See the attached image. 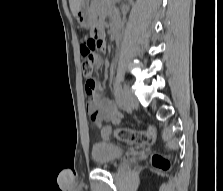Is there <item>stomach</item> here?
I'll list each match as a JSON object with an SVG mask.
<instances>
[{
	"label": "stomach",
	"instance_id": "stomach-1",
	"mask_svg": "<svg viewBox=\"0 0 223 191\" xmlns=\"http://www.w3.org/2000/svg\"><path fill=\"white\" fill-rule=\"evenodd\" d=\"M76 19L78 24L85 29L93 26V16L92 10L89 7V0H84L83 5L76 15Z\"/></svg>",
	"mask_w": 223,
	"mask_h": 191
}]
</instances>
